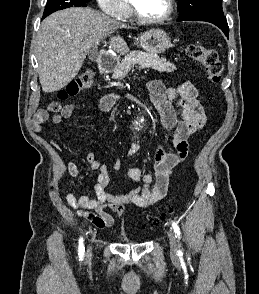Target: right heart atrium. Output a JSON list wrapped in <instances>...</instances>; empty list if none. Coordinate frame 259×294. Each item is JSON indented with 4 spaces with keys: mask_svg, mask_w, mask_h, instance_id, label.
Segmentation results:
<instances>
[{
    "mask_svg": "<svg viewBox=\"0 0 259 294\" xmlns=\"http://www.w3.org/2000/svg\"><path fill=\"white\" fill-rule=\"evenodd\" d=\"M102 11L115 19H125L130 8L126 0H97Z\"/></svg>",
    "mask_w": 259,
    "mask_h": 294,
    "instance_id": "1",
    "label": "right heart atrium"
}]
</instances>
